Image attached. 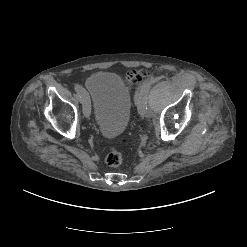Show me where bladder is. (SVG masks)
<instances>
[{"label": "bladder", "mask_w": 247, "mask_h": 247, "mask_svg": "<svg viewBox=\"0 0 247 247\" xmlns=\"http://www.w3.org/2000/svg\"><path fill=\"white\" fill-rule=\"evenodd\" d=\"M85 85L99 132L106 137L123 132L130 120L132 98L122 78L112 72H98L89 76Z\"/></svg>", "instance_id": "1"}]
</instances>
